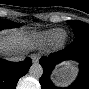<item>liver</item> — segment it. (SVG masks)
Wrapping results in <instances>:
<instances>
[{"label":"liver","mask_w":89,"mask_h":89,"mask_svg":"<svg viewBox=\"0 0 89 89\" xmlns=\"http://www.w3.org/2000/svg\"><path fill=\"white\" fill-rule=\"evenodd\" d=\"M28 42V36L21 31H4L0 37V52L7 57H9L10 54L25 53Z\"/></svg>","instance_id":"liver-1"}]
</instances>
